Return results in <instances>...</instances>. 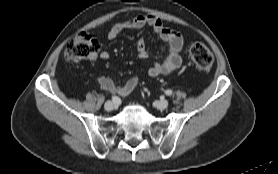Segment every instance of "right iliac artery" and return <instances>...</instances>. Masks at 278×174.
I'll return each mask as SVG.
<instances>
[{
  "label": "right iliac artery",
  "mask_w": 278,
  "mask_h": 174,
  "mask_svg": "<svg viewBox=\"0 0 278 174\" xmlns=\"http://www.w3.org/2000/svg\"><path fill=\"white\" fill-rule=\"evenodd\" d=\"M112 101L116 105H119L121 103L120 98H118L117 96H112Z\"/></svg>",
  "instance_id": "1"
}]
</instances>
